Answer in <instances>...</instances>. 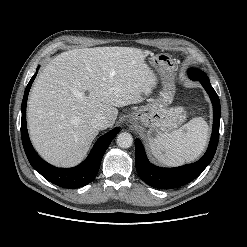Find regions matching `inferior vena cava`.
Returning a JSON list of instances; mask_svg holds the SVG:
<instances>
[{"label": "inferior vena cava", "instance_id": "inferior-vena-cava-1", "mask_svg": "<svg viewBox=\"0 0 247 247\" xmlns=\"http://www.w3.org/2000/svg\"><path fill=\"white\" fill-rule=\"evenodd\" d=\"M108 123V119L102 114L96 115L91 121L92 126L97 130L106 129L109 126Z\"/></svg>", "mask_w": 247, "mask_h": 247}]
</instances>
